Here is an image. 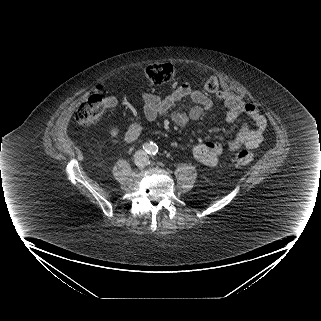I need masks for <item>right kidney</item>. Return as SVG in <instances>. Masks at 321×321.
<instances>
[{
    "instance_id": "obj_1",
    "label": "right kidney",
    "mask_w": 321,
    "mask_h": 321,
    "mask_svg": "<svg viewBox=\"0 0 321 321\" xmlns=\"http://www.w3.org/2000/svg\"><path fill=\"white\" fill-rule=\"evenodd\" d=\"M118 128L117 127H113L111 130H110V135L112 137H116L118 135Z\"/></svg>"
}]
</instances>
